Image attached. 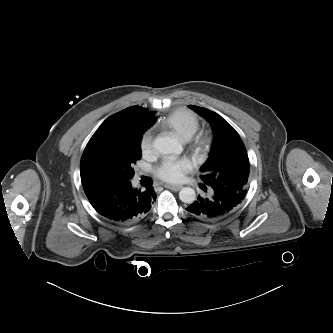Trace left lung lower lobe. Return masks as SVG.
<instances>
[{"instance_id":"0a47b994","label":"left lung lower lobe","mask_w":333,"mask_h":333,"mask_svg":"<svg viewBox=\"0 0 333 333\" xmlns=\"http://www.w3.org/2000/svg\"><path fill=\"white\" fill-rule=\"evenodd\" d=\"M203 187L206 188L205 185ZM209 187L211 190L209 197L198 196L197 200L186 209L199 219L206 221L220 220L233 212L242 201L238 194L228 187L222 185Z\"/></svg>"}]
</instances>
